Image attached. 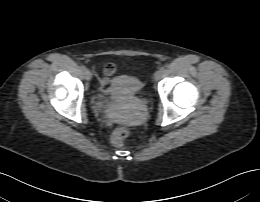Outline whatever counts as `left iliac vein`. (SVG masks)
<instances>
[{"mask_svg": "<svg viewBox=\"0 0 260 202\" xmlns=\"http://www.w3.org/2000/svg\"><path fill=\"white\" fill-rule=\"evenodd\" d=\"M162 77V72L160 70L156 71L155 74H154V79L156 81L160 80Z\"/></svg>", "mask_w": 260, "mask_h": 202, "instance_id": "4c4485c4", "label": "left iliac vein"}]
</instances>
